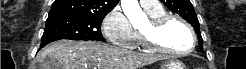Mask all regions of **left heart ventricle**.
I'll use <instances>...</instances> for the list:
<instances>
[{
  "label": "left heart ventricle",
  "instance_id": "obj_1",
  "mask_svg": "<svg viewBox=\"0 0 246 69\" xmlns=\"http://www.w3.org/2000/svg\"><path fill=\"white\" fill-rule=\"evenodd\" d=\"M147 29L148 23L141 28L142 31H147ZM154 40L166 47L177 49L184 47L185 44L191 41V38L181 22L172 20L165 25L158 36L154 37Z\"/></svg>",
  "mask_w": 246,
  "mask_h": 69
}]
</instances>
